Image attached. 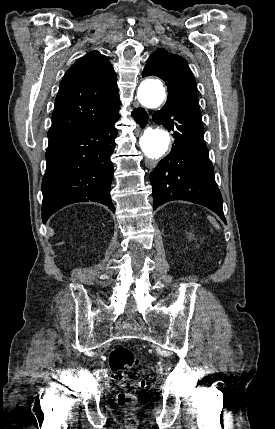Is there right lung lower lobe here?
<instances>
[{
  "instance_id": "right-lung-lower-lobe-1",
  "label": "right lung lower lobe",
  "mask_w": 275,
  "mask_h": 429,
  "mask_svg": "<svg viewBox=\"0 0 275 429\" xmlns=\"http://www.w3.org/2000/svg\"><path fill=\"white\" fill-rule=\"evenodd\" d=\"M144 126L148 116L143 109L132 113ZM119 114L110 120L83 126L49 138L47 170L42 180V219L75 202H99L112 212L110 197L113 178L111 155L115 148Z\"/></svg>"
}]
</instances>
